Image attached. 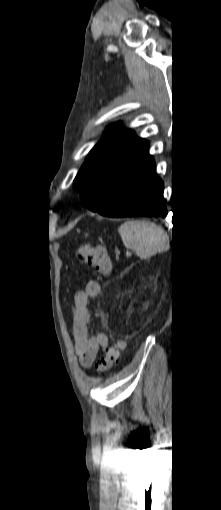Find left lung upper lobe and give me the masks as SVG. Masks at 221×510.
Returning a JSON list of instances; mask_svg holds the SVG:
<instances>
[{
	"label": "left lung upper lobe",
	"instance_id": "5c2ea615",
	"mask_svg": "<svg viewBox=\"0 0 221 510\" xmlns=\"http://www.w3.org/2000/svg\"><path fill=\"white\" fill-rule=\"evenodd\" d=\"M118 127V123L108 127L74 179L73 188L80 193L82 205L89 209L106 207L153 161L146 140L136 137L130 129L114 131Z\"/></svg>",
	"mask_w": 221,
	"mask_h": 510
}]
</instances>
